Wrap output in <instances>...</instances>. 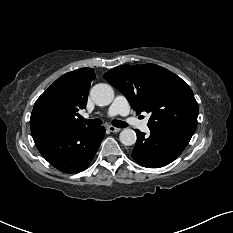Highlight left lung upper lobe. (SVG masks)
<instances>
[{
	"mask_svg": "<svg viewBox=\"0 0 233 233\" xmlns=\"http://www.w3.org/2000/svg\"><path fill=\"white\" fill-rule=\"evenodd\" d=\"M104 78L127 97L137 114L151 113L150 130L194 134L198 104L191 88L176 74L148 63L116 67Z\"/></svg>",
	"mask_w": 233,
	"mask_h": 233,
	"instance_id": "obj_1",
	"label": "left lung upper lobe"
}]
</instances>
